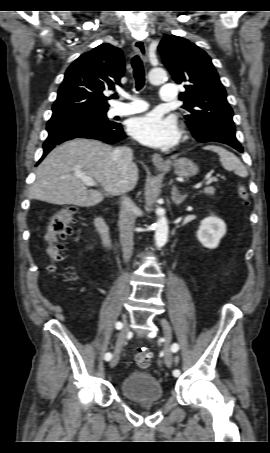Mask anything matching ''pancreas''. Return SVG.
I'll return each mask as SVG.
<instances>
[{
	"mask_svg": "<svg viewBox=\"0 0 270 453\" xmlns=\"http://www.w3.org/2000/svg\"><path fill=\"white\" fill-rule=\"evenodd\" d=\"M203 193L208 194V195H214L215 194V188L214 187H207V188H205Z\"/></svg>",
	"mask_w": 270,
	"mask_h": 453,
	"instance_id": "obj_1",
	"label": "pancreas"
}]
</instances>
